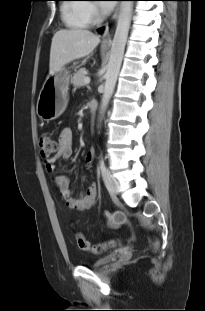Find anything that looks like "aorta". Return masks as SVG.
Returning a JSON list of instances; mask_svg holds the SVG:
<instances>
[{"instance_id":"762f6f07","label":"aorta","mask_w":205,"mask_h":311,"mask_svg":"<svg viewBox=\"0 0 205 311\" xmlns=\"http://www.w3.org/2000/svg\"><path fill=\"white\" fill-rule=\"evenodd\" d=\"M133 10V1H122L117 21L115 35L112 41L110 59L105 74V87L101 100V111L103 112L113 94L117 77L120 71L125 45L130 28Z\"/></svg>"}]
</instances>
